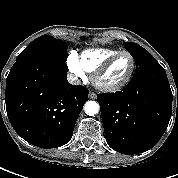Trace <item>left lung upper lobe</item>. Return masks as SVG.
<instances>
[{"mask_svg": "<svg viewBox=\"0 0 178 178\" xmlns=\"http://www.w3.org/2000/svg\"><path fill=\"white\" fill-rule=\"evenodd\" d=\"M124 47L129 51L136 63L135 74L132 78H136L150 72L164 70L157 60L140 45L133 42H126Z\"/></svg>", "mask_w": 178, "mask_h": 178, "instance_id": "5c2ea615", "label": "left lung upper lobe"}]
</instances>
